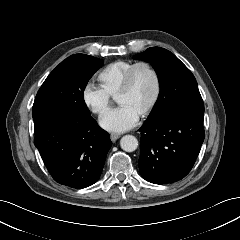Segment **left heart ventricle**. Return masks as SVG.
I'll list each match as a JSON object with an SVG mask.
<instances>
[{
	"instance_id": "1",
	"label": "left heart ventricle",
	"mask_w": 240,
	"mask_h": 240,
	"mask_svg": "<svg viewBox=\"0 0 240 240\" xmlns=\"http://www.w3.org/2000/svg\"><path fill=\"white\" fill-rule=\"evenodd\" d=\"M155 93V79L145 67L136 70L131 90L118 98L119 105H124L140 115L149 105Z\"/></svg>"
}]
</instances>
